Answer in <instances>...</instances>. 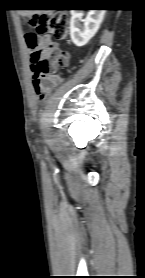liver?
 <instances>
[{
	"label": "liver",
	"mask_w": 145,
	"mask_h": 278,
	"mask_svg": "<svg viewBox=\"0 0 145 278\" xmlns=\"http://www.w3.org/2000/svg\"><path fill=\"white\" fill-rule=\"evenodd\" d=\"M22 16L31 17L34 14H50L51 10H20Z\"/></svg>",
	"instance_id": "1"
}]
</instances>
